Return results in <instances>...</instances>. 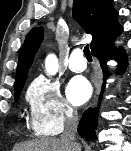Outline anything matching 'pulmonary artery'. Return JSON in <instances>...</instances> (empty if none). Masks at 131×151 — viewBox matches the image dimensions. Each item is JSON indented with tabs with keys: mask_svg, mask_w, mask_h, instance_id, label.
Here are the masks:
<instances>
[{
	"mask_svg": "<svg viewBox=\"0 0 131 151\" xmlns=\"http://www.w3.org/2000/svg\"><path fill=\"white\" fill-rule=\"evenodd\" d=\"M68 66L71 71L76 72V73L82 72L86 69L87 64L83 57L82 50L75 49L71 53Z\"/></svg>",
	"mask_w": 131,
	"mask_h": 151,
	"instance_id": "e3ab8cb5",
	"label": "pulmonary artery"
}]
</instances>
